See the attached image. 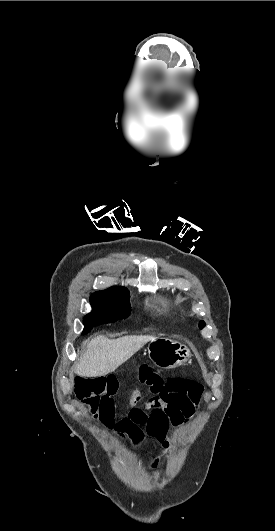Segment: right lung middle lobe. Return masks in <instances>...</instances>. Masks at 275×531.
I'll list each match as a JSON object with an SVG mask.
<instances>
[{
	"instance_id": "1",
	"label": "right lung middle lobe",
	"mask_w": 275,
	"mask_h": 531,
	"mask_svg": "<svg viewBox=\"0 0 275 531\" xmlns=\"http://www.w3.org/2000/svg\"><path fill=\"white\" fill-rule=\"evenodd\" d=\"M90 304L92 311L84 317L82 334L97 325L126 318L130 313L129 291L115 288L97 291L91 295Z\"/></svg>"
}]
</instances>
